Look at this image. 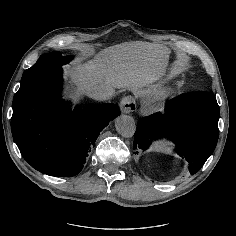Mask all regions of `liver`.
Listing matches in <instances>:
<instances>
[{"label": "liver", "mask_w": 236, "mask_h": 236, "mask_svg": "<svg viewBox=\"0 0 236 236\" xmlns=\"http://www.w3.org/2000/svg\"><path fill=\"white\" fill-rule=\"evenodd\" d=\"M166 50L159 44L125 42L99 51L84 63L75 61L72 68L67 67V74L77 87V95H89L97 85L136 91L164 75L155 60H160Z\"/></svg>", "instance_id": "liver-1"}]
</instances>
